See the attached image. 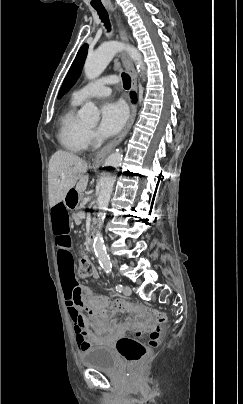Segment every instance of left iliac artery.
I'll use <instances>...</instances> for the list:
<instances>
[{
  "mask_svg": "<svg viewBox=\"0 0 243 404\" xmlns=\"http://www.w3.org/2000/svg\"><path fill=\"white\" fill-rule=\"evenodd\" d=\"M123 289H124V287H123V285H121V284H119V285L116 286V291H118V292H122Z\"/></svg>",
  "mask_w": 243,
  "mask_h": 404,
  "instance_id": "1",
  "label": "left iliac artery"
}]
</instances>
